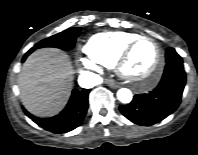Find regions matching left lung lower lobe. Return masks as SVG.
Masks as SVG:
<instances>
[{"instance_id":"1","label":"left lung lower lobe","mask_w":198,"mask_h":155,"mask_svg":"<svg viewBox=\"0 0 198 155\" xmlns=\"http://www.w3.org/2000/svg\"><path fill=\"white\" fill-rule=\"evenodd\" d=\"M186 75L182 62L166 64L158 87L149 94H137L132 102L119 107L133 123L150 126L173 113L181 102Z\"/></svg>"}]
</instances>
